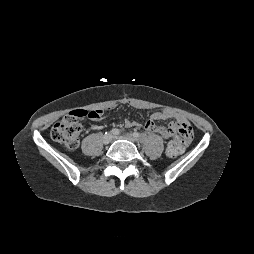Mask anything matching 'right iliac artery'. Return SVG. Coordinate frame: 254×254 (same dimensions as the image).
Returning <instances> with one entry per match:
<instances>
[{
  "label": "right iliac artery",
  "instance_id": "1",
  "mask_svg": "<svg viewBox=\"0 0 254 254\" xmlns=\"http://www.w3.org/2000/svg\"><path fill=\"white\" fill-rule=\"evenodd\" d=\"M119 133H120L119 129L114 128L111 130V134H113V135H118Z\"/></svg>",
  "mask_w": 254,
  "mask_h": 254
}]
</instances>
